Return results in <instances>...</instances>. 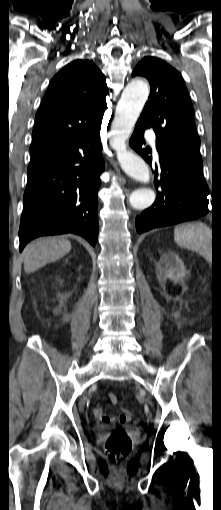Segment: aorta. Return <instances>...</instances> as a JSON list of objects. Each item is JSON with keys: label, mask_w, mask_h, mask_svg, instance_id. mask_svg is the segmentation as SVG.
Returning <instances> with one entry per match:
<instances>
[{"label": "aorta", "mask_w": 221, "mask_h": 510, "mask_svg": "<svg viewBox=\"0 0 221 510\" xmlns=\"http://www.w3.org/2000/svg\"><path fill=\"white\" fill-rule=\"evenodd\" d=\"M149 96L148 85L140 79L131 81L124 89L117 105L115 118L112 123L113 137L111 146L117 152V157L123 171L142 183H149L150 173L146 162L133 152L127 151L126 140L129 137ZM155 200L152 189L134 190L129 197L132 208L143 210L150 207Z\"/></svg>", "instance_id": "obj_1"}]
</instances>
